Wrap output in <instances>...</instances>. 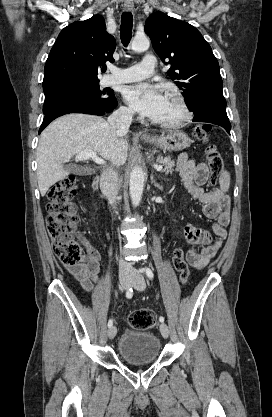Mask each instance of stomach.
Instances as JSON below:
<instances>
[{"instance_id":"stomach-1","label":"stomach","mask_w":272,"mask_h":417,"mask_svg":"<svg viewBox=\"0 0 272 417\" xmlns=\"http://www.w3.org/2000/svg\"><path fill=\"white\" fill-rule=\"evenodd\" d=\"M143 139L164 151H181L191 144L189 136L179 130L170 131L166 135L143 137Z\"/></svg>"}]
</instances>
